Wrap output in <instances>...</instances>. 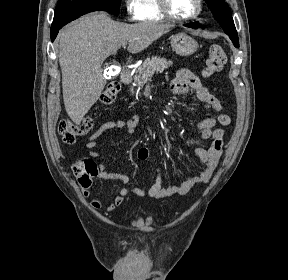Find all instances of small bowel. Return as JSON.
Segmentation results:
<instances>
[{
  "label": "small bowel",
  "mask_w": 288,
  "mask_h": 280,
  "mask_svg": "<svg viewBox=\"0 0 288 280\" xmlns=\"http://www.w3.org/2000/svg\"><path fill=\"white\" fill-rule=\"evenodd\" d=\"M170 90L175 94L186 92H193L197 99L201 101L207 111V117L197 123V128L200 131L201 138L204 141L211 140L210 147L205 150L197 148L195 150L196 156L204 164L203 169L197 176H194L181 183L169 187L162 186V172L161 168H156V178L154 183L148 189H142L135 186H130L131 178L121 172L109 171L104 164L99 165V177L102 179L119 180L125 186L121 188L114 199L107 204L106 210L108 212L114 211L125 200L126 197L133 194L138 197H149L154 199L167 198L174 195H184L194 187L207 183L213 175L219 159L222 154L224 130L222 128H215L217 124L222 127L228 126L231 122L229 115L223 113L222 103L212 95L209 90L201 83L198 76L188 69L180 68L176 71L175 76L171 80ZM139 117L133 116L128 120L113 119L104 122L97 131L91 135L86 143V148L89 150V156L92 158H99L100 153L95 149L98 147V139L113 129H122L127 133H133L138 123ZM137 157L140 160H146L149 157V150L146 147H141L137 151ZM83 196L89 198L91 195L89 188H83ZM90 205L94 209L102 207L100 198L95 197L91 200Z\"/></svg>",
  "instance_id": "1"
}]
</instances>
